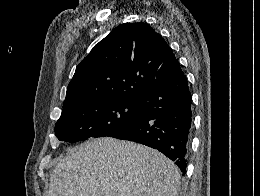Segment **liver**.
I'll return each instance as SVG.
<instances>
[{"instance_id": "liver-1", "label": "liver", "mask_w": 260, "mask_h": 196, "mask_svg": "<svg viewBox=\"0 0 260 196\" xmlns=\"http://www.w3.org/2000/svg\"><path fill=\"white\" fill-rule=\"evenodd\" d=\"M50 176L48 196H178L181 178L158 150L115 138L72 148Z\"/></svg>"}]
</instances>
